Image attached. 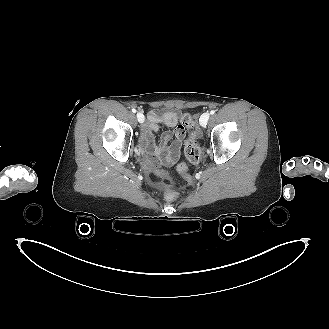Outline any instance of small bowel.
<instances>
[{
    "instance_id": "c3829d8e",
    "label": "small bowel",
    "mask_w": 329,
    "mask_h": 329,
    "mask_svg": "<svg viewBox=\"0 0 329 329\" xmlns=\"http://www.w3.org/2000/svg\"><path fill=\"white\" fill-rule=\"evenodd\" d=\"M181 121L182 112L178 109L157 108L149 112L141 139L142 148L148 159L155 161V158H159L163 162L173 163L180 157L184 138ZM161 125L175 130L174 134L170 131L163 133L160 142L157 143L155 134L159 132Z\"/></svg>"
}]
</instances>
